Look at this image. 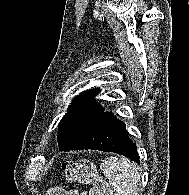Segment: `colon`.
<instances>
[{
    "label": "colon",
    "instance_id": "1",
    "mask_svg": "<svg viewBox=\"0 0 189 195\" xmlns=\"http://www.w3.org/2000/svg\"><path fill=\"white\" fill-rule=\"evenodd\" d=\"M62 171L68 183H82L90 185V195H109V185L105 177L94 172L87 159L66 161L62 164ZM49 195H73L61 186H54Z\"/></svg>",
    "mask_w": 189,
    "mask_h": 195
}]
</instances>
